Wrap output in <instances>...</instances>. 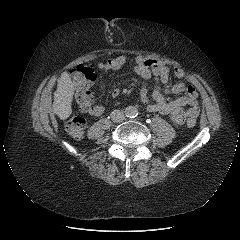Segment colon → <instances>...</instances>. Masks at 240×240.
<instances>
[{
    "label": "colon",
    "instance_id": "colon-1",
    "mask_svg": "<svg viewBox=\"0 0 240 240\" xmlns=\"http://www.w3.org/2000/svg\"><path fill=\"white\" fill-rule=\"evenodd\" d=\"M71 78L75 88V98L81 109L89 112L92 108L93 98L90 92V86L96 76L91 66L77 65L71 70ZM188 127L196 125L195 118H188L186 122ZM86 129V120L80 115L71 116L66 122V130L75 140H81Z\"/></svg>",
    "mask_w": 240,
    "mask_h": 240
}]
</instances>
